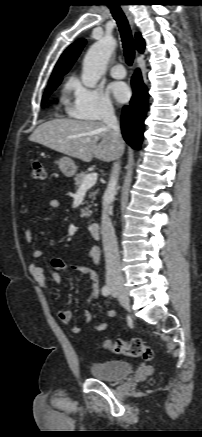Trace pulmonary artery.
I'll return each instance as SVG.
<instances>
[{
  "mask_svg": "<svg viewBox=\"0 0 202 437\" xmlns=\"http://www.w3.org/2000/svg\"><path fill=\"white\" fill-rule=\"evenodd\" d=\"M110 75L116 79H122L126 76L125 68L122 64H116L111 67Z\"/></svg>",
  "mask_w": 202,
  "mask_h": 437,
  "instance_id": "obj_1",
  "label": "pulmonary artery"
}]
</instances>
